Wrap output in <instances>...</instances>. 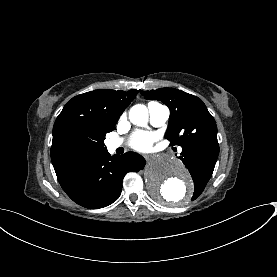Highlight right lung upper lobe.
<instances>
[{"mask_svg":"<svg viewBox=\"0 0 277 277\" xmlns=\"http://www.w3.org/2000/svg\"><path fill=\"white\" fill-rule=\"evenodd\" d=\"M136 94L137 90L99 89L68 101L53 127L51 160L55 171L78 162L74 148L79 143L100 144Z\"/></svg>","mask_w":277,"mask_h":277,"instance_id":"right-lung-upper-lobe-1","label":"right lung upper lobe"}]
</instances>
